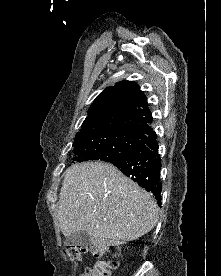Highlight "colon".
<instances>
[{
  "label": "colon",
  "mask_w": 221,
  "mask_h": 276,
  "mask_svg": "<svg viewBox=\"0 0 221 276\" xmlns=\"http://www.w3.org/2000/svg\"><path fill=\"white\" fill-rule=\"evenodd\" d=\"M89 249L97 259L91 266L86 268L81 276H111V271L117 267L118 263L113 259H102L106 251L104 247L93 246L89 248L86 245L67 246L65 253L70 260L79 261Z\"/></svg>",
  "instance_id": "5ec220e1"
}]
</instances>
